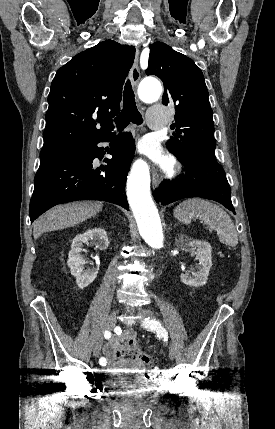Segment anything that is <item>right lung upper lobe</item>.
<instances>
[{
	"label": "right lung upper lobe",
	"mask_w": 275,
	"mask_h": 429,
	"mask_svg": "<svg viewBox=\"0 0 275 429\" xmlns=\"http://www.w3.org/2000/svg\"><path fill=\"white\" fill-rule=\"evenodd\" d=\"M134 57L133 46L106 40L77 54L57 71L48 96L40 159L111 133Z\"/></svg>",
	"instance_id": "cb5924a9"
}]
</instances>
